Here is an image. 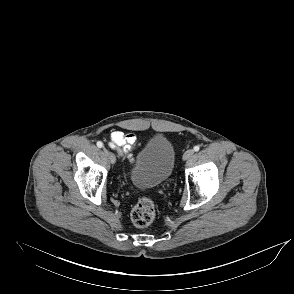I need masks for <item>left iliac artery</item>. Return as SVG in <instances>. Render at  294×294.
Here are the masks:
<instances>
[{
  "mask_svg": "<svg viewBox=\"0 0 294 294\" xmlns=\"http://www.w3.org/2000/svg\"><path fill=\"white\" fill-rule=\"evenodd\" d=\"M199 149H200V147L198 145L194 147V151H196V152L199 151Z\"/></svg>",
  "mask_w": 294,
  "mask_h": 294,
  "instance_id": "left-iliac-artery-1",
  "label": "left iliac artery"
}]
</instances>
